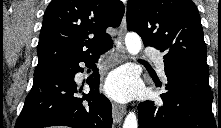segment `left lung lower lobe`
I'll list each match as a JSON object with an SVG mask.
<instances>
[{"label": "left lung lower lobe", "mask_w": 221, "mask_h": 128, "mask_svg": "<svg viewBox=\"0 0 221 128\" xmlns=\"http://www.w3.org/2000/svg\"><path fill=\"white\" fill-rule=\"evenodd\" d=\"M168 92L138 105L139 128H216L209 71L164 59Z\"/></svg>", "instance_id": "obj_1"}]
</instances>
